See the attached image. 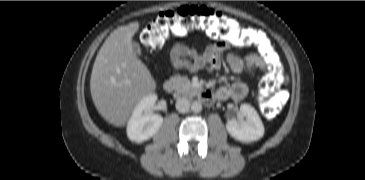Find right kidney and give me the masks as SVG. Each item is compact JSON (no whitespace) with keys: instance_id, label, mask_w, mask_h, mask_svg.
Listing matches in <instances>:
<instances>
[{"instance_id":"right-kidney-1","label":"right kidney","mask_w":365,"mask_h":180,"mask_svg":"<svg viewBox=\"0 0 365 180\" xmlns=\"http://www.w3.org/2000/svg\"><path fill=\"white\" fill-rule=\"evenodd\" d=\"M156 100L157 96L150 94L137 103L127 125V135L131 141L142 143L156 134L162 126L163 117L150 112Z\"/></svg>"}]
</instances>
